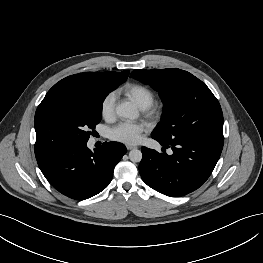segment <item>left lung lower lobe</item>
I'll use <instances>...</instances> for the list:
<instances>
[{"label": "left lung lower lobe", "mask_w": 263, "mask_h": 263, "mask_svg": "<svg viewBox=\"0 0 263 263\" xmlns=\"http://www.w3.org/2000/svg\"><path fill=\"white\" fill-rule=\"evenodd\" d=\"M153 138L164 148L170 147L173 153L142 147L139 172L148 186L170 197H180L199 188L212 173L224 144L223 136L175 138L170 142Z\"/></svg>", "instance_id": "1"}]
</instances>
